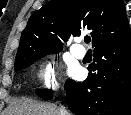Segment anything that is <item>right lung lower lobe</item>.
<instances>
[{
    "label": "right lung lower lobe",
    "mask_w": 131,
    "mask_h": 115,
    "mask_svg": "<svg viewBox=\"0 0 131 115\" xmlns=\"http://www.w3.org/2000/svg\"><path fill=\"white\" fill-rule=\"evenodd\" d=\"M88 70L82 83L68 80L65 84L69 109L76 115H129L131 36L94 49V63Z\"/></svg>",
    "instance_id": "obj_1"
}]
</instances>
